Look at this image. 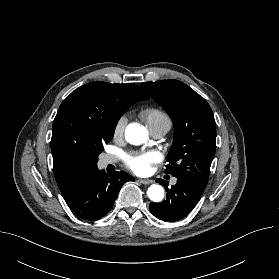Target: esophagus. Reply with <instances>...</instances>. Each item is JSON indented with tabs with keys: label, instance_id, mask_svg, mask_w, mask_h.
Returning <instances> with one entry per match:
<instances>
[{
	"label": "esophagus",
	"instance_id": "obj_1",
	"mask_svg": "<svg viewBox=\"0 0 279 279\" xmlns=\"http://www.w3.org/2000/svg\"><path fill=\"white\" fill-rule=\"evenodd\" d=\"M139 181H140V183L145 184V185L152 184L154 182L151 179H140Z\"/></svg>",
	"mask_w": 279,
	"mask_h": 279
}]
</instances>
